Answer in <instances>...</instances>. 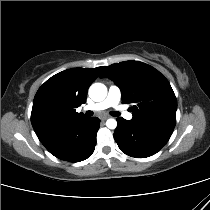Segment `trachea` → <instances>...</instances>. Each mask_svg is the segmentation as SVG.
Masks as SVG:
<instances>
[{"label": "trachea", "instance_id": "obj_1", "mask_svg": "<svg viewBox=\"0 0 210 210\" xmlns=\"http://www.w3.org/2000/svg\"><path fill=\"white\" fill-rule=\"evenodd\" d=\"M110 114H111L112 116H114V117L119 116V112H116V111H112ZM86 115H87V116H92V115H93V112H92V111H88V112L86 113Z\"/></svg>", "mask_w": 210, "mask_h": 210}]
</instances>
